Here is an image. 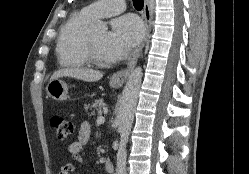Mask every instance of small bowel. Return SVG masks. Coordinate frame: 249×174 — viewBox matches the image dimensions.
Listing matches in <instances>:
<instances>
[{"label": "small bowel", "mask_w": 249, "mask_h": 174, "mask_svg": "<svg viewBox=\"0 0 249 174\" xmlns=\"http://www.w3.org/2000/svg\"><path fill=\"white\" fill-rule=\"evenodd\" d=\"M90 134V124L88 122H83L78 133V139L74 142H71L66 149V153L72 161L77 163L81 162L80 152L88 143ZM74 170V165L71 162H67L60 167L59 174H71L72 172H74Z\"/></svg>", "instance_id": "1"}]
</instances>
